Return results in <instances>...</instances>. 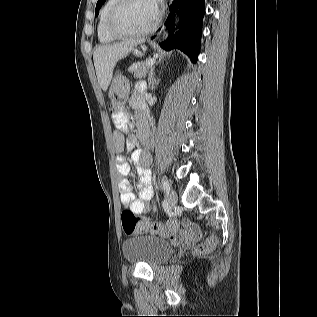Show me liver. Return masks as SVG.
Instances as JSON below:
<instances>
[{"label": "liver", "instance_id": "liver-1", "mask_svg": "<svg viewBox=\"0 0 317 317\" xmlns=\"http://www.w3.org/2000/svg\"><path fill=\"white\" fill-rule=\"evenodd\" d=\"M139 43H141V40H128L95 48L93 53L94 66L98 82L103 91L108 89L117 62Z\"/></svg>", "mask_w": 317, "mask_h": 317}]
</instances>
